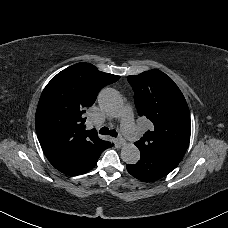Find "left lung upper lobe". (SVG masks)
<instances>
[{
  "label": "left lung upper lobe",
  "mask_w": 228,
  "mask_h": 228,
  "mask_svg": "<svg viewBox=\"0 0 228 228\" xmlns=\"http://www.w3.org/2000/svg\"><path fill=\"white\" fill-rule=\"evenodd\" d=\"M127 79L135 93L139 116L153 124L135 145L181 161L191 134L190 113L182 92L169 76L157 69Z\"/></svg>",
  "instance_id": "obj_1"
}]
</instances>
